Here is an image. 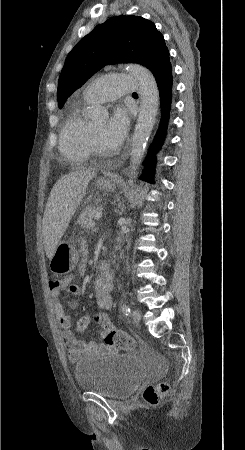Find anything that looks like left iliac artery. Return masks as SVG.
<instances>
[{
	"label": "left iliac artery",
	"instance_id": "1",
	"mask_svg": "<svg viewBox=\"0 0 245 450\" xmlns=\"http://www.w3.org/2000/svg\"><path fill=\"white\" fill-rule=\"evenodd\" d=\"M122 312L124 313V315L129 316L130 315V308L127 305H122Z\"/></svg>",
	"mask_w": 245,
	"mask_h": 450
}]
</instances>
